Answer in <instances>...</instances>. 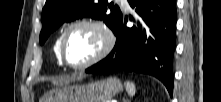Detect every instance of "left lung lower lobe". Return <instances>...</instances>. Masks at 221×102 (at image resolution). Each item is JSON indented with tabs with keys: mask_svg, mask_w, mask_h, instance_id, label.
I'll list each match as a JSON object with an SVG mask.
<instances>
[{
	"mask_svg": "<svg viewBox=\"0 0 221 102\" xmlns=\"http://www.w3.org/2000/svg\"><path fill=\"white\" fill-rule=\"evenodd\" d=\"M137 13L136 26L121 20L112 52L87 73L134 71L158 78L172 96L176 46L175 0H128Z\"/></svg>",
	"mask_w": 221,
	"mask_h": 102,
	"instance_id": "obj_1",
	"label": "left lung lower lobe"
}]
</instances>
